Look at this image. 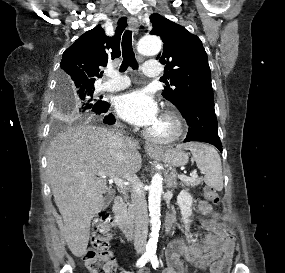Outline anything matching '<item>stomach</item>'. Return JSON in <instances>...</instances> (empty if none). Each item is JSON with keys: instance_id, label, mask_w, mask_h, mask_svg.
Masks as SVG:
<instances>
[{"instance_id": "0dacf381", "label": "stomach", "mask_w": 285, "mask_h": 273, "mask_svg": "<svg viewBox=\"0 0 285 273\" xmlns=\"http://www.w3.org/2000/svg\"><path fill=\"white\" fill-rule=\"evenodd\" d=\"M151 156L172 166H184L189 160L188 154L180 147L162 150L158 154H152Z\"/></svg>"}]
</instances>
